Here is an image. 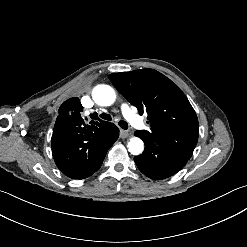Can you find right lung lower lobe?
Returning <instances> with one entry per match:
<instances>
[{
	"instance_id": "98d812e1",
	"label": "right lung lower lobe",
	"mask_w": 247,
	"mask_h": 247,
	"mask_svg": "<svg viewBox=\"0 0 247 247\" xmlns=\"http://www.w3.org/2000/svg\"><path fill=\"white\" fill-rule=\"evenodd\" d=\"M118 136L119 129L115 125L109 136L97 142L82 140L81 134L74 130L53 135L51 146L54 161L66 176L87 178L99 170L108 149Z\"/></svg>"
}]
</instances>
